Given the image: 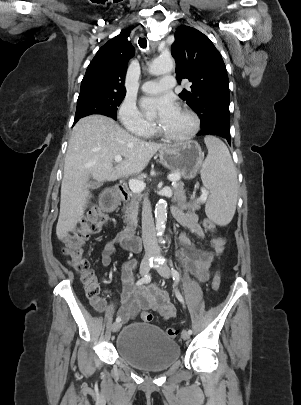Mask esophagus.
Instances as JSON below:
<instances>
[{
  "label": "esophagus",
  "instance_id": "34e87169",
  "mask_svg": "<svg viewBox=\"0 0 301 405\" xmlns=\"http://www.w3.org/2000/svg\"><path fill=\"white\" fill-rule=\"evenodd\" d=\"M151 45H152L153 48H156L157 43H156V42H152Z\"/></svg>",
  "mask_w": 301,
  "mask_h": 405
}]
</instances>
